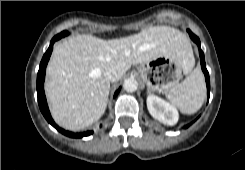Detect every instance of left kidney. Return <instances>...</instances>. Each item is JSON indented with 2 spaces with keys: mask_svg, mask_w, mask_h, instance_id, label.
Returning <instances> with one entry per match:
<instances>
[{
  "mask_svg": "<svg viewBox=\"0 0 245 170\" xmlns=\"http://www.w3.org/2000/svg\"><path fill=\"white\" fill-rule=\"evenodd\" d=\"M147 108L152 117L163 124L172 126L178 122L177 109L158 96L149 95L147 97Z\"/></svg>",
  "mask_w": 245,
  "mask_h": 170,
  "instance_id": "left-kidney-1",
  "label": "left kidney"
}]
</instances>
